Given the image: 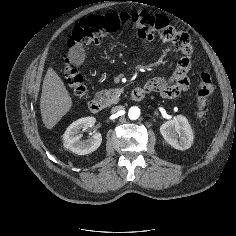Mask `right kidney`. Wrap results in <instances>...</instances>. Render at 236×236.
<instances>
[{
  "label": "right kidney",
  "mask_w": 236,
  "mask_h": 236,
  "mask_svg": "<svg viewBox=\"0 0 236 236\" xmlns=\"http://www.w3.org/2000/svg\"><path fill=\"white\" fill-rule=\"evenodd\" d=\"M95 122L94 117H84L74 121L63 135V146L78 155L90 154L97 150L102 142L100 133H96L86 140H81V135H79L83 129L92 127Z\"/></svg>",
  "instance_id": "1"
}]
</instances>
